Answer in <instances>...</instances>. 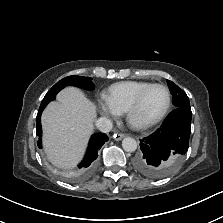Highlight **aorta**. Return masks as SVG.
Listing matches in <instances>:
<instances>
[{"label":"aorta","mask_w":223,"mask_h":223,"mask_svg":"<svg viewBox=\"0 0 223 223\" xmlns=\"http://www.w3.org/2000/svg\"><path fill=\"white\" fill-rule=\"evenodd\" d=\"M122 147L126 152H134L137 149V142L132 137H126L122 141Z\"/></svg>","instance_id":"obj_1"}]
</instances>
